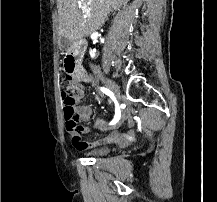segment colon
Listing matches in <instances>:
<instances>
[{
  "label": "colon",
  "instance_id": "colon-1",
  "mask_svg": "<svg viewBox=\"0 0 217 202\" xmlns=\"http://www.w3.org/2000/svg\"><path fill=\"white\" fill-rule=\"evenodd\" d=\"M74 90L64 88L62 91V100L64 107V117L68 131L82 132L83 128L77 124L74 107Z\"/></svg>",
  "mask_w": 217,
  "mask_h": 202
}]
</instances>
